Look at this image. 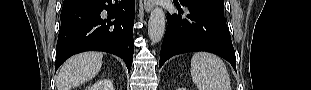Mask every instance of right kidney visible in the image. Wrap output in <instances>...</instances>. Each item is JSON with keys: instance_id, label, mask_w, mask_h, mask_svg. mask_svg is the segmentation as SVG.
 <instances>
[{"instance_id": "obj_1", "label": "right kidney", "mask_w": 311, "mask_h": 90, "mask_svg": "<svg viewBox=\"0 0 311 90\" xmlns=\"http://www.w3.org/2000/svg\"><path fill=\"white\" fill-rule=\"evenodd\" d=\"M88 90H114V88L110 80H101L88 88Z\"/></svg>"}]
</instances>
